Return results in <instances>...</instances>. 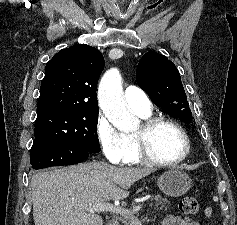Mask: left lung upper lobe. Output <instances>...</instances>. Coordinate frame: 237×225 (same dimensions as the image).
Instances as JSON below:
<instances>
[{
	"label": "left lung upper lobe",
	"mask_w": 237,
	"mask_h": 225,
	"mask_svg": "<svg viewBox=\"0 0 237 225\" xmlns=\"http://www.w3.org/2000/svg\"><path fill=\"white\" fill-rule=\"evenodd\" d=\"M136 79L150 99L166 113L185 123L192 120L179 71L166 56L147 52L138 63Z\"/></svg>",
	"instance_id": "obj_1"
}]
</instances>
